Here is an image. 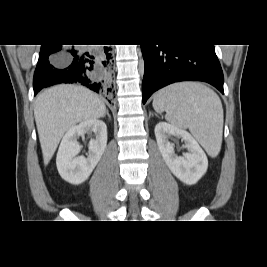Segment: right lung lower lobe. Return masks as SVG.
<instances>
[{"label": "right lung lower lobe", "mask_w": 267, "mask_h": 267, "mask_svg": "<svg viewBox=\"0 0 267 267\" xmlns=\"http://www.w3.org/2000/svg\"><path fill=\"white\" fill-rule=\"evenodd\" d=\"M111 48L74 49L41 45L33 78L34 95L56 84H78L107 97L114 95L111 82Z\"/></svg>", "instance_id": "1"}]
</instances>
